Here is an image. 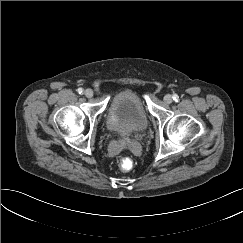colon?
<instances>
[{"mask_svg":"<svg viewBox=\"0 0 243 243\" xmlns=\"http://www.w3.org/2000/svg\"><path fill=\"white\" fill-rule=\"evenodd\" d=\"M119 168L122 171H129L133 168V161L130 158H122L119 161Z\"/></svg>","mask_w":243,"mask_h":243,"instance_id":"obj_1","label":"colon"}]
</instances>
